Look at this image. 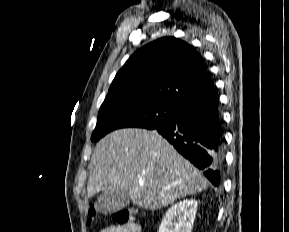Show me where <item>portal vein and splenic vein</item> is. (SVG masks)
Segmentation results:
<instances>
[{"instance_id": "portal-vein-and-splenic-vein-1", "label": "portal vein and splenic vein", "mask_w": 289, "mask_h": 232, "mask_svg": "<svg viewBox=\"0 0 289 232\" xmlns=\"http://www.w3.org/2000/svg\"><path fill=\"white\" fill-rule=\"evenodd\" d=\"M140 185H141V186H144V183H143V182H141V183H140Z\"/></svg>"}]
</instances>
